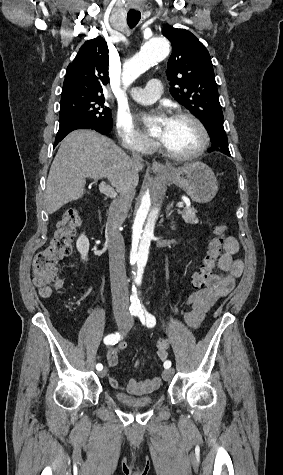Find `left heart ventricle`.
<instances>
[{
  "label": "left heart ventricle",
  "instance_id": "1",
  "mask_svg": "<svg viewBox=\"0 0 283 475\" xmlns=\"http://www.w3.org/2000/svg\"><path fill=\"white\" fill-rule=\"evenodd\" d=\"M155 135L173 154L183 155L192 152L200 141V132L190 120L172 117L166 129L155 128Z\"/></svg>",
  "mask_w": 283,
  "mask_h": 475
}]
</instances>
